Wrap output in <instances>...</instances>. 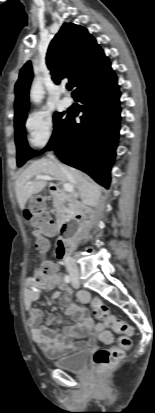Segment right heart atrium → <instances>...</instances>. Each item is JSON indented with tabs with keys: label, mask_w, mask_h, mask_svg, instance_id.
I'll return each mask as SVG.
<instances>
[{
	"label": "right heart atrium",
	"mask_w": 155,
	"mask_h": 413,
	"mask_svg": "<svg viewBox=\"0 0 155 413\" xmlns=\"http://www.w3.org/2000/svg\"><path fill=\"white\" fill-rule=\"evenodd\" d=\"M25 127L29 144L34 148H42L53 136L54 119L48 111H35L27 117Z\"/></svg>",
	"instance_id": "d8ad5b80"
}]
</instances>
